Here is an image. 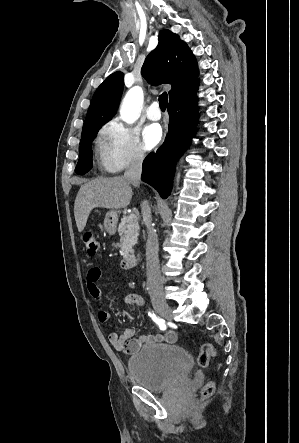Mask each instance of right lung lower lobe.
Instances as JSON below:
<instances>
[{
    "label": "right lung lower lobe",
    "instance_id": "right-lung-lower-lobe-1",
    "mask_svg": "<svg viewBox=\"0 0 299 443\" xmlns=\"http://www.w3.org/2000/svg\"><path fill=\"white\" fill-rule=\"evenodd\" d=\"M197 88L198 80L170 97L167 138L157 152L150 153L143 162L141 180L154 187L164 199L172 189L175 163L195 132Z\"/></svg>",
    "mask_w": 299,
    "mask_h": 443
}]
</instances>
